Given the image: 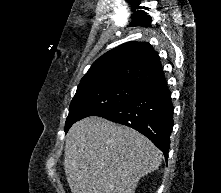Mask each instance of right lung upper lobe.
<instances>
[{"label": "right lung upper lobe", "mask_w": 221, "mask_h": 193, "mask_svg": "<svg viewBox=\"0 0 221 193\" xmlns=\"http://www.w3.org/2000/svg\"><path fill=\"white\" fill-rule=\"evenodd\" d=\"M162 78V65L153 47L146 42H128L98 58L77 90L119 82L143 86Z\"/></svg>", "instance_id": "obj_1"}]
</instances>
